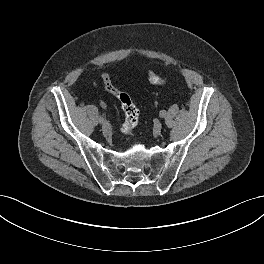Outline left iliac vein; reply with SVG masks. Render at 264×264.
I'll list each match as a JSON object with an SVG mask.
<instances>
[{
  "mask_svg": "<svg viewBox=\"0 0 264 264\" xmlns=\"http://www.w3.org/2000/svg\"><path fill=\"white\" fill-rule=\"evenodd\" d=\"M162 129V124L161 122H155L154 126H153V131L155 134H159L161 132Z\"/></svg>",
  "mask_w": 264,
  "mask_h": 264,
  "instance_id": "1",
  "label": "left iliac vein"
}]
</instances>
